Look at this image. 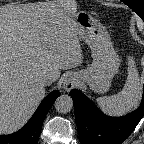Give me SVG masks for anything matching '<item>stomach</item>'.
I'll return each instance as SVG.
<instances>
[{"label":"stomach","instance_id":"obj_1","mask_svg":"<svg viewBox=\"0 0 144 144\" xmlns=\"http://www.w3.org/2000/svg\"><path fill=\"white\" fill-rule=\"evenodd\" d=\"M74 20L78 36L91 48L93 62L86 69L74 72L72 77L86 82L96 93H106L120 66V59L113 48L110 35L88 12H77Z\"/></svg>","mask_w":144,"mask_h":144}]
</instances>
